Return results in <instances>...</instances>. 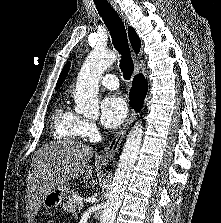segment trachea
Segmentation results:
<instances>
[{
  "mask_svg": "<svg viewBox=\"0 0 221 223\" xmlns=\"http://www.w3.org/2000/svg\"><path fill=\"white\" fill-rule=\"evenodd\" d=\"M95 6L106 24L115 49L121 55L120 69L126 80L131 78L134 64L131 58L125 26L107 0H94Z\"/></svg>",
  "mask_w": 221,
  "mask_h": 223,
  "instance_id": "trachea-1",
  "label": "trachea"
}]
</instances>
